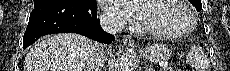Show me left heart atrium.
Wrapping results in <instances>:
<instances>
[{
	"mask_svg": "<svg viewBox=\"0 0 230 71\" xmlns=\"http://www.w3.org/2000/svg\"><path fill=\"white\" fill-rule=\"evenodd\" d=\"M105 8L122 18L123 20L136 23L143 22L142 1L135 0H106Z\"/></svg>",
	"mask_w": 230,
	"mask_h": 71,
	"instance_id": "left-heart-atrium-1",
	"label": "left heart atrium"
}]
</instances>
